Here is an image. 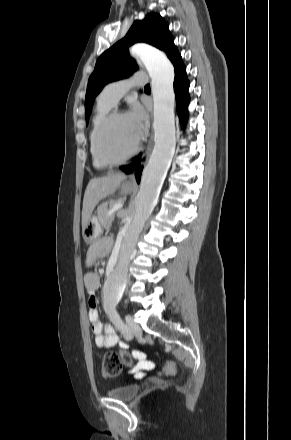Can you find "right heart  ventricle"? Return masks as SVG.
<instances>
[{"label":"right heart ventricle","mask_w":291,"mask_h":440,"mask_svg":"<svg viewBox=\"0 0 291 440\" xmlns=\"http://www.w3.org/2000/svg\"><path fill=\"white\" fill-rule=\"evenodd\" d=\"M111 108H112L111 106H108L107 104L100 101L99 98L97 99V105L94 116L92 118V126L89 134L90 153L92 156L93 165L97 168H105L110 166L104 163L103 161H101L97 156L95 137L100 122L109 113Z\"/></svg>","instance_id":"obj_1"}]
</instances>
